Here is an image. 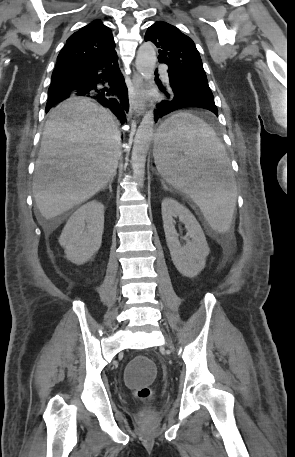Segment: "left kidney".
<instances>
[{
    "label": "left kidney",
    "mask_w": 295,
    "mask_h": 457,
    "mask_svg": "<svg viewBox=\"0 0 295 457\" xmlns=\"http://www.w3.org/2000/svg\"><path fill=\"white\" fill-rule=\"evenodd\" d=\"M161 210L165 237L175 267L186 277L197 276L205 267L210 252L201 226L185 206L172 198L163 199ZM177 217L184 223L186 236L191 239L184 247L181 246L175 229L174 218Z\"/></svg>",
    "instance_id": "obj_1"
}]
</instances>
